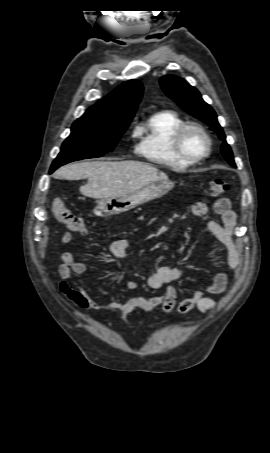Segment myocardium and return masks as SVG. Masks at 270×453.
Segmentation results:
<instances>
[{
    "label": "myocardium",
    "mask_w": 270,
    "mask_h": 453,
    "mask_svg": "<svg viewBox=\"0 0 270 453\" xmlns=\"http://www.w3.org/2000/svg\"><path fill=\"white\" fill-rule=\"evenodd\" d=\"M188 131H197L206 139L207 146H206V150L203 154L198 155V156H192L185 151V149L183 147V138H184V135ZM172 145H173V149H174L175 153L179 157H181L182 159H184L188 162L197 163V162H200V161L206 159L211 154L212 139H211L209 133L206 131V129L203 126H201L200 124L184 123L173 134Z\"/></svg>",
    "instance_id": "1"
}]
</instances>
